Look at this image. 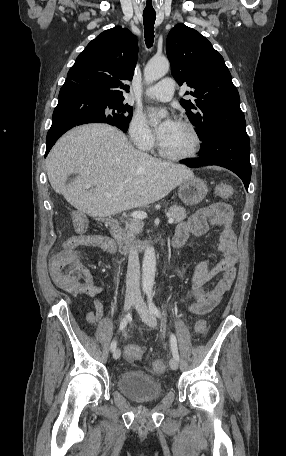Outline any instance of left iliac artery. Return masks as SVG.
I'll return each instance as SVG.
<instances>
[{"mask_svg": "<svg viewBox=\"0 0 286 456\" xmlns=\"http://www.w3.org/2000/svg\"><path fill=\"white\" fill-rule=\"evenodd\" d=\"M147 300H148V305L150 311L158 318L161 317V312L158 309V307L155 305L153 301V293L151 290L147 291ZM170 344H171V351L173 354V357L179 361V353H178V348H177V339L174 334H171L170 336Z\"/></svg>", "mask_w": 286, "mask_h": 456, "instance_id": "1", "label": "left iliac artery"}]
</instances>
